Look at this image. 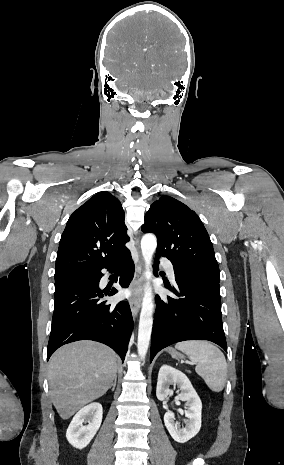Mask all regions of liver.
Masks as SVG:
<instances>
[{"mask_svg":"<svg viewBox=\"0 0 284 465\" xmlns=\"http://www.w3.org/2000/svg\"><path fill=\"white\" fill-rule=\"evenodd\" d=\"M117 373V355L99 343L64 345L49 361L52 403L61 419H70L84 405L102 397Z\"/></svg>","mask_w":284,"mask_h":465,"instance_id":"1","label":"liver"}]
</instances>
